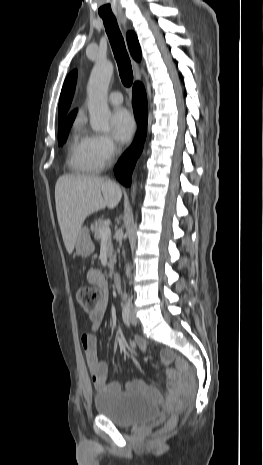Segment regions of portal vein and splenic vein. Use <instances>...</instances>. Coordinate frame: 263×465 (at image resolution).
I'll return each mask as SVG.
<instances>
[{"label": "portal vein and splenic vein", "mask_w": 263, "mask_h": 465, "mask_svg": "<svg viewBox=\"0 0 263 465\" xmlns=\"http://www.w3.org/2000/svg\"><path fill=\"white\" fill-rule=\"evenodd\" d=\"M110 235H111V231H110L109 226H105L100 230V236L102 239H107L108 237H110Z\"/></svg>", "instance_id": "1"}]
</instances>
